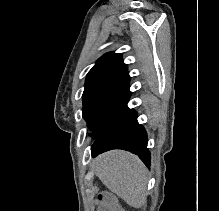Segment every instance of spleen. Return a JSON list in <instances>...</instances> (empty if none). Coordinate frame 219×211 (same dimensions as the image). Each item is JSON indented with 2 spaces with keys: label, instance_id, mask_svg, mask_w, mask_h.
<instances>
[{
  "label": "spleen",
  "instance_id": "1",
  "mask_svg": "<svg viewBox=\"0 0 219 211\" xmlns=\"http://www.w3.org/2000/svg\"><path fill=\"white\" fill-rule=\"evenodd\" d=\"M92 167L108 189L117 193L129 205H145L147 167L137 155L130 151L113 149L93 159Z\"/></svg>",
  "mask_w": 219,
  "mask_h": 211
}]
</instances>
